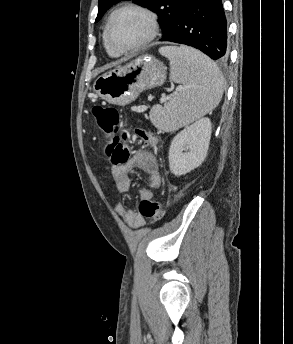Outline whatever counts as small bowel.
<instances>
[{"mask_svg":"<svg viewBox=\"0 0 293 344\" xmlns=\"http://www.w3.org/2000/svg\"><path fill=\"white\" fill-rule=\"evenodd\" d=\"M140 170L148 175L153 188H159L162 184V176L155 156L147 150L135 152L131 162L112 168V177L120 193H127L131 187L130 172ZM141 200L153 199V192L149 189L140 190ZM116 213L132 228H140L144 225L146 217L140 212L128 208L123 203L116 205Z\"/></svg>","mask_w":293,"mask_h":344,"instance_id":"obj_1","label":"small bowel"}]
</instances>
